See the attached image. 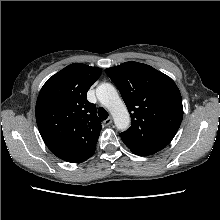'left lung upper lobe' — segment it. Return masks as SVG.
Instances as JSON below:
<instances>
[{
	"label": "left lung upper lobe",
	"instance_id": "1",
	"mask_svg": "<svg viewBox=\"0 0 220 220\" xmlns=\"http://www.w3.org/2000/svg\"><path fill=\"white\" fill-rule=\"evenodd\" d=\"M116 84L131 115L121 134L130 150L158 152L177 133L183 118L182 98L175 82L153 67L125 62L105 70Z\"/></svg>",
	"mask_w": 220,
	"mask_h": 220
}]
</instances>
